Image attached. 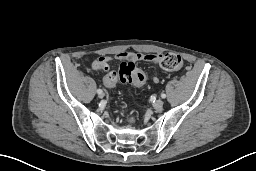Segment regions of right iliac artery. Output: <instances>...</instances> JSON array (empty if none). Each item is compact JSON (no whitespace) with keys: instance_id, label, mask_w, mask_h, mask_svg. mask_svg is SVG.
Segmentation results:
<instances>
[{"instance_id":"obj_1","label":"right iliac artery","mask_w":256,"mask_h":171,"mask_svg":"<svg viewBox=\"0 0 256 171\" xmlns=\"http://www.w3.org/2000/svg\"><path fill=\"white\" fill-rule=\"evenodd\" d=\"M102 92H103V91H102L101 89H98V90H97V93H98V94H100V93H102Z\"/></svg>"}]
</instances>
